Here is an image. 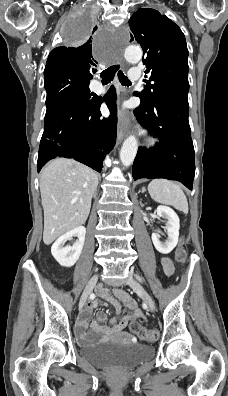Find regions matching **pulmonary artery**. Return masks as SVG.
Wrapping results in <instances>:
<instances>
[{"mask_svg": "<svg viewBox=\"0 0 228 396\" xmlns=\"http://www.w3.org/2000/svg\"><path fill=\"white\" fill-rule=\"evenodd\" d=\"M129 76L131 80L137 81L141 78V70L138 67H134L129 71ZM96 88L100 93H104V90H102L100 86Z\"/></svg>", "mask_w": 228, "mask_h": 396, "instance_id": "obj_1", "label": "pulmonary artery"}]
</instances>
